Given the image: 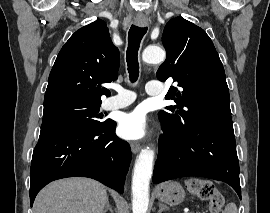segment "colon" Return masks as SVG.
Returning a JSON list of instances; mask_svg holds the SVG:
<instances>
[{
  "mask_svg": "<svg viewBox=\"0 0 270 213\" xmlns=\"http://www.w3.org/2000/svg\"><path fill=\"white\" fill-rule=\"evenodd\" d=\"M188 191L207 201L211 213H219L224 205V197L215 185L207 179H191L187 183Z\"/></svg>",
  "mask_w": 270,
  "mask_h": 213,
  "instance_id": "1",
  "label": "colon"
}]
</instances>
